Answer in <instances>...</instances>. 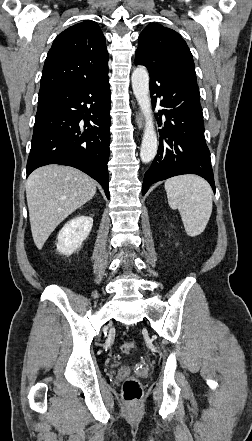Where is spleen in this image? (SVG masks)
I'll return each instance as SVG.
<instances>
[{"label":"spleen","instance_id":"obj_1","mask_svg":"<svg viewBox=\"0 0 252 441\" xmlns=\"http://www.w3.org/2000/svg\"><path fill=\"white\" fill-rule=\"evenodd\" d=\"M165 190L172 209H178L188 236L201 234L212 213V188L196 175L176 176L166 180Z\"/></svg>","mask_w":252,"mask_h":441}]
</instances>
